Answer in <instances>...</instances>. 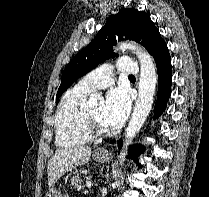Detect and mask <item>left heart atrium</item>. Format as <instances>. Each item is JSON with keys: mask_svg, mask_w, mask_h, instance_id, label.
<instances>
[{"mask_svg": "<svg viewBox=\"0 0 209 197\" xmlns=\"http://www.w3.org/2000/svg\"><path fill=\"white\" fill-rule=\"evenodd\" d=\"M128 91L123 87L111 89L105 98L101 110L102 122L111 128L120 126L130 111Z\"/></svg>", "mask_w": 209, "mask_h": 197, "instance_id": "left-heart-atrium-1", "label": "left heart atrium"}]
</instances>
